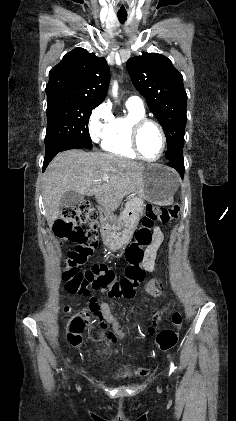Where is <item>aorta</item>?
<instances>
[{
  "label": "aorta",
  "mask_w": 236,
  "mask_h": 421,
  "mask_svg": "<svg viewBox=\"0 0 236 421\" xmlns=\"http://www.w3.org/2000/svg\"><path fill=\"white\" fill-rule=\"evenodd\" d=\"M112 92H113V94H114V96H115V94H116V92H117V84H116V82H114V84H113V86H112Z\"/></svg>",
  "instance_id": "aorta-1"
}]
</instances>
